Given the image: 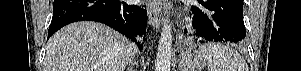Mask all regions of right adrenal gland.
Listing matches in <instances>:
<instances>
[{"label":"right adrenal gland","instance_id":"1","mask_svg":"<svg viewBox=\"0 0 301 71\" xmlns=\"http://www.w3.org/2000/svg\"><path fill=\"white\" fill-rule=\"evenodd\" d=\"M127 71H133V69L131 67H128Z\"/></svg>","mask_w":301,"mask_h":71}]
</instances>
